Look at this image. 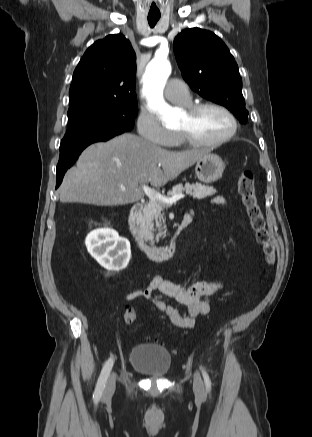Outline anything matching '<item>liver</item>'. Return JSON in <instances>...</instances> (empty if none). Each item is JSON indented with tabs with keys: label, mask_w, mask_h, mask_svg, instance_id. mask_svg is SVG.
<instances>
[{
	"label": "liver",
	"mask_w": 312,
	"mask_h": 437,
	"mask_svg": "<svg viewBox=\"0 0 312 437\" xmlns=\"http://www.w3.org/2000/svg\"><path fill=\"white\" fill-rule=\"evenodd\" d=\"M209 152L170 151L125 133L92 144L81 153L59 187L60 201L98 206L130 204L144 196L141 186H164Z\"/></svg>",
	"instance_id": "6515ba94"
}]
</instances>
